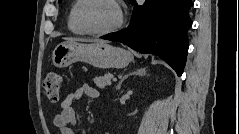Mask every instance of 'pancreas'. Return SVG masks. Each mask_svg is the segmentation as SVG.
<instances>
[{
	"label": "pancreas",
	"instance_id": "1",
	"mask_svg": "<svg viewBox=\"0 0 239 134\" xmlns=\"http://www.w3.org/2000/svg\"><path fill=\"white\" fill-rule=\"evenodd\" d=\"M113 77V74L107 73L104 76L95 77L93 81L98 88L103 89L111 85V80L113 79Z\"/></svg>",
	"mask_w": 239,
	"mask_h": 134
}]
</instances>
